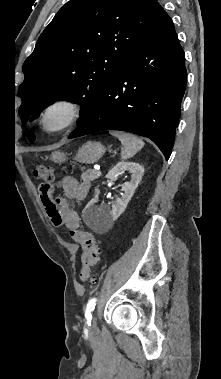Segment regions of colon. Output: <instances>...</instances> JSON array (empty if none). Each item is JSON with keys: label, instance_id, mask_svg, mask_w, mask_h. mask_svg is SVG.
Instances as JSON below:
<instances>
[{"label": "colon", "instance_id": "1", "mask_svg": "<svg viewBox=\"0 0 221 379\" xmlns=\"http://www.w3.org/2000/svg\"><path fill=\"white\" fill-rule=\"evenodd\" d=\"M34 177L41 183L40 191L47 194L54 181V170L48 165H39L34 170ZM70 235L74 241L82 246L83 253L81 257L80 278L86 282L90 280L91 270L98 263L100 255V244L96 237L87 231L73 229Z\"/></svg>", "mask_w": 221, "mask_h": 379}]
</instances>
